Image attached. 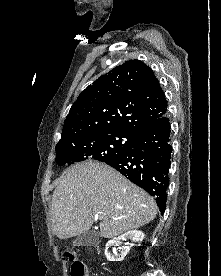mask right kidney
Returning a JSON list of instances; mask_svg holds the SVG:
<instances>
[{
  "instance_id": "right-kidney-1",
  "label": "right kidney",
  "mask_w": 221,
  "mask_h": 276,
  "mask_svg": "<svg viewBox=\"0 0 221 276\" xmlns=\"http://www.w3.org/2000/svg\"><path fill=\"white\" fill-rule=\"evenodd\" d=\"M131 240L134 243H140L144 239V233L142 231L138 230H131L128 231L121 236L114 238L106 243V249H105V256L108 261H122L124 260L125 256L130 251V248L133 244H130L129 242H125L124 246L119 247L120 248V254L117 257H114L111 255V253L108 251L109 247L111 246H120L123 244L124 241Z\"/></svg>"
}]
</instances>
